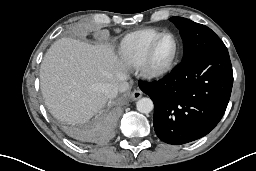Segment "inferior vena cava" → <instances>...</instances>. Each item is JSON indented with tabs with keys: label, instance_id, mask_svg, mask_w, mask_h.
<instances>
[{
	"label": "inferior vena cava",
	"instance_id": "obj_1",
	"mask_svg": "<svg viewBox=\"0 0 256 171\" xmlns=\"http://www.w3.org/2000/svg\"><path fill=\"white\" fill-rule=\"evenodd\" d=\"M102 92L107 98H115L118 93V87L112 83H106L102 86Z\"/></svg>",
	"mask_w": 256,
	"mask_h": 171
}]
</instances>
